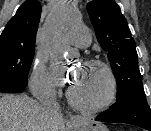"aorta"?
Segmentation results:
<instances>
[{"instance_id": "obj_1", "label": "aorta", "mask_w": 151, "mask_h": 131, "mask_svg": "<svg viewBox=\"0 0 151 131\" xmlns=\"http://www.w3.org/2000/svg\"><path fill=\"white\" fill-rule=\"evenodd\" d=\"M78 21V15L73 8L69 6L57 7L48 22V30L54 39H58L69 27ZM67 56L72 55L71 51L62 48Z\"/></svg>"}]
</instances>
